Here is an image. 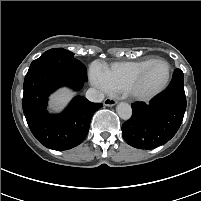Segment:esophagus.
Segmentation results:
<instances>
[{
    "label": "esophagus",
    "mask_w": 201,
    "mask_h": 201,
    "mask_svg": "<svg viewBox=\"0 0 201 201\" xmlns=\"http://www.w3.org/2000/svg\"><path fill=\"white\" fill-rule=\"evenodd\" d=\"M117 101L112 98H106L103 102L104 106H114L116 105Z\"/></svg>",
    "instance_id": "esophagus-1"
}]
</instances>
